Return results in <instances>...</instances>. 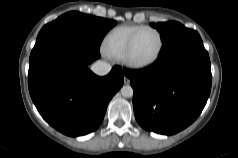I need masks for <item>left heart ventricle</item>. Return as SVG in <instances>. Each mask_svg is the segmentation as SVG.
I'll return each mask as SVG.
<instances>
[{
    "instance_id": "left-heart-ventricle-1",
    "label": "left heart ventricle",
    "mask_w": 238,
    "mask_h": 158,
    "mask_svg": "<svg viewBox=\"0 0 238 158\" xmlns=\"http://www.w3.org/2000/svg\"><path fill=\"white\" fill-rule=\"evenodd\" d=\"M159 48V37L151 30L142 32L136 40L132 59L138 62L152 59Z\"/></svg>"
}]
</instances>
